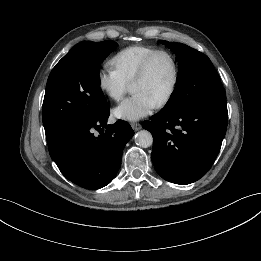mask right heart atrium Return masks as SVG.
Wrapping results in <instances>:
<instances>
[{"label": "right heart atrium", "mask_w": 261, "mask_h": 261, "mask_svg": "<svg viewBox=\"0 0 261 261\" xmlns=\"http://www.w3.org/2000/svg\"><path fill=\"white\" fill-rule=\"evenodd\" d=\"M97 83L100 91L113 101H120L128 91L126 83L114 70L101 69L97 74Z\"/></svg>", "instance_id": "obj_1"}]
</instances>
